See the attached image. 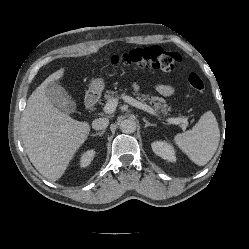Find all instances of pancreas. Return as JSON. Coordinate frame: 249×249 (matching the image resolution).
<instances>
[{
	"label": "pancreas",
	"instance_id": "obj_1",
	"mask_svg": "<svg viewBox=\"0 0 249 249\" xmlns=\"http://www.w3.org/2000/svg\"><path fill=\"white\" fill-rule=\"evenodd\" d=\"M115 96H117V92L114 91H106V94L104 96V98L107 101H110L112 99L115 98ZM143 101L145 100H149L150 104H153V108L155 111H159V113H163L164 115H167V113L170 111V107H168V105L165 103V100L163 98L157 97V96H144Z\"/></svg>",
	"mask_w": 249,
	"mask_h": 249
}]
</instances>
